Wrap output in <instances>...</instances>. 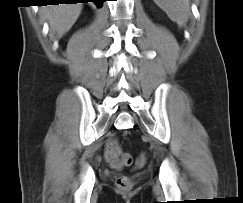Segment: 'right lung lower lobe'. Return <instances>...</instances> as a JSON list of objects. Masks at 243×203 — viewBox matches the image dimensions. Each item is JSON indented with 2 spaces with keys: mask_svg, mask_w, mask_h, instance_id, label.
Masks as SVG:
<instances>
[{
  "mask_svg": "<svg viewBox=\"0 0 243 203\" xmlns=\"http://www.w3.org/2000/svg\"><path fill=\"white\" fill-rule=\"evenodd\" d=\"M59 3H77V2H82V3H88V2H95L98 7L102 6V3L106 0H57ZM42 5V4H38ZM59 5V4H58Z\"/></svg>",
  "mask_w": 243,
  "mask_h": 203,
  "instance_id": "1",
  "label": "right lung lower lobe"
}]
</instances>
